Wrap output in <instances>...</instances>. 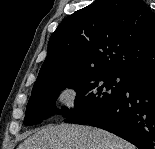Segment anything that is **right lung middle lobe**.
Masks as SVG:
<instances>
[{"label":"right lung middle lobe","mask_w":155,"mask_h":149,"mask_svg":"<svg viewBox=\"0 0 155 149\" xmlns=\"http://www.w3.org/2000/svg\"><path fill=\"white\" fill-rule=\"evenodd\" d=\"M126 80V74L84 71L65 72L36 82L27 104L24 124H39L58 112L55 101L65 87L77 92L74 111L65 122L82 124L87 119L92 120L122 94ZM64 111V117L68 116L69 110Z\"/></svg>","instance_id":"1"}]
</instances>
